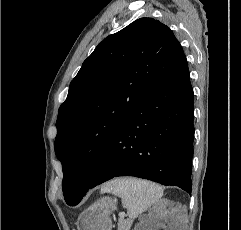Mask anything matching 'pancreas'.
<instances>
[{"mask_svg": "<svg viewBox=\"0 0 241 230\" xmlns=\"http://www.w3.org/2000/svg\"><path fill=\"white\" fill-rule=\"evenodd\" d=\"M131 222L129 220H120L118 223V230H129Z\"/></svg>", "mask_w": 241, "mask_h": 230, "instance_id": "pancreas-1", "label": "pancreas"}]
</instances>
